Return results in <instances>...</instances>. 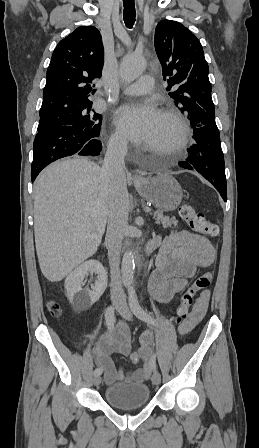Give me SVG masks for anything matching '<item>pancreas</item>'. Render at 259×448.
<instances>
[{"label": "pancreas", "mask_w": 259, "mask_h": 448, "mask_svg": "<svg viewBox=\"0 0 259 448\" xmlns=\"http://www.w3.org/2000/svg\"><path fill=\"white\" fill-rule=\"evenodd\" d=\"M153 216L154 220H157V222H161L163 228H176L178 224L176 218H169V216H164L163 212H160V210L154 212Z\"/></svg>", "instance_id": "pancreas-1"}]
</instances>
